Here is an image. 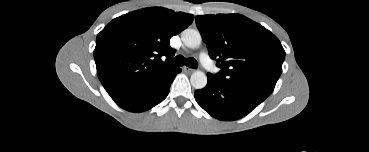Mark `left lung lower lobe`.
Segmentation results:
<instances>
[{
  "instance_id": "0a47b994",
  "label": "left lung lower lobe",
  "mask_w": 369,
  "mask_h": 152,
  "mask_svg": "<svg viewBox=\"0 0 369 152\" xmlns=\"http://www.w3.org/2000/svg\"><path fill=\"white\" fill-rule=\"evenodd\" d=\"M207 78V86L195 92V99L206 112L219 120L240 119L269 96L256 89L226 84L210 73Z\"/></svg>"
}]
</instances>
